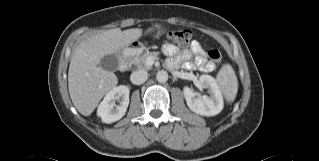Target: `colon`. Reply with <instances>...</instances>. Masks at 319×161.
Listing matches in <instances>:
<instances>
[{
	"label": "colon",
	"instance_id": "colon-1",
	"mask_svg": "<svg viewBox=\"0 0 319 161\" xmlns=\"http://www.w3.org/2000/svg\"><path fill=\"white\" fill-rule=\"evenodd\" d=\"M168 37L177 44H186L190 40L191 33L188 30H173L169 32ZM207 54L213 63L218 64L221 61V54L217 48L208 50Z\"/></svg>",
	"mask_w": 319,
	"mask_h": 161
}]
</instances>
